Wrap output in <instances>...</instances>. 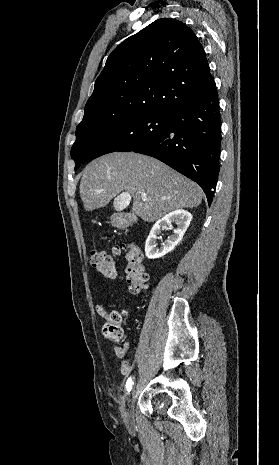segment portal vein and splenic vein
<instances>
[{
    "label": "portal vein and splenic vein",
    "instance_id": "1",
    "mask_svg": "<svg viewBox=\"0 0 279 465\" xmlns=\"http://www.w3.org/2000/svg\"><path fill=\"white\" fill-rule=\"evenodd\" d=\"M122 197H124L127 201L131 199V196L129 193H123ZM142 199L147 200V195L145 193L142 194Z\"/></svg>",
    "mask_w": 279,
    "mask_h": 465
}]
</instances>
